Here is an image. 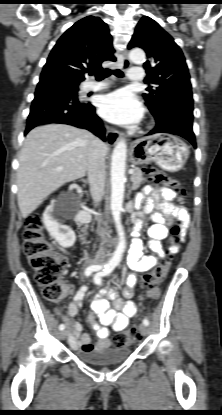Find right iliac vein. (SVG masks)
<instances>
[{"instance_id":"right-iliac-vein-1","label":"right iliac vein","mask_w":222,"mask_h":415,"mask_svg":"<svg viewBox=\"0 0 222 415\" xmlns=\"http://www.w3.org/2000/svg\"><path fill=\"white\" fill-rule=\"evenodd\" d=\"M67 334H68V331H67V330H63V331H61V332H60V338H61L62 340H64V339L66 338Z\"/></svg>"}]
</instances>
